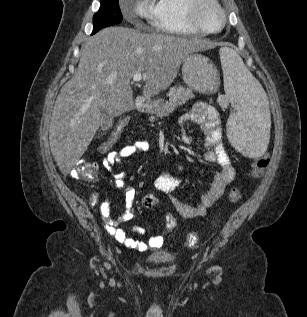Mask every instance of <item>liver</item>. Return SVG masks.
<instances>
[{"mask_svg": "<svg viewBox=\"0 0 307 317\" xmlns=\"http://www.w3.org/2000/svg\"><path fill=\"white\" fill-rule=\"evenodd\" d=\"M209 41L105 28L87 39L74 76L62 87L49 126L51 153L66 175L101 125V110L116 117L133 108L132 77L143 73L147 98L166 90L190 53L214 48Z\"/></svg>", "mask_w": 307, "mask_h": 317, "instance_id": "6515ba94", "label": "liver"}]
</instances>
